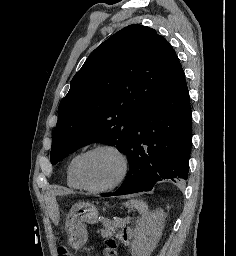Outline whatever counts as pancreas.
<instances>
[{"mask_svg":"<svg viewBox=\"0 0 236 256\" xmlns=\"http://www.w3.org/2000/svg\"><path fill=\"white\" fill-rule=\"evenodd\" d=\"M98 234H99V236H104L105 233H104V231H99Z\"/></svg>","mask_w":236,"mask_h":256,"instance_id":"cf45deb5","label":"pancreas"}]
</instances>
